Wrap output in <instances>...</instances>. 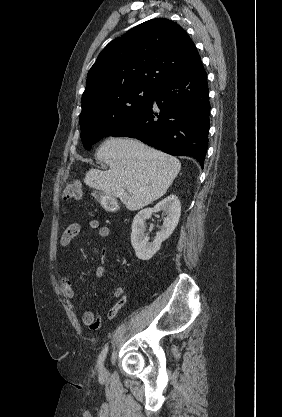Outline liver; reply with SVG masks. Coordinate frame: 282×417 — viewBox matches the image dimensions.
<instances>
[{"mask_svg": "<svg viewBox=\"0 0 282 417\" xmlns=\"http://www.w3.org/2000/svg\"><path fill=\"white\" fill-rule=\"evenodd\" d=\"M98 158L109 164V170L90 168L85 184L118 196L128 211H139L163 196L181 168L175 156L127 136L104 140Z\"/></svg>", "mask_w": 282, "mask_h": 417, "instance_id": "6515ba94", "label": "liver"}]
</instances>
